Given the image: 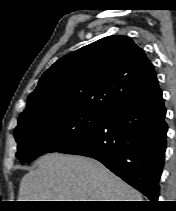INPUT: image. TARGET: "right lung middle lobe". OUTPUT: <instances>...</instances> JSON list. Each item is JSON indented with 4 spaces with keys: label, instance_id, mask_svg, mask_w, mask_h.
<instances>
[{
    "label": "right lung middle lobe",
    "instance_id": "dd1d6c3e",
    "mask_svg": "<svg viewBox=\"0 0 176 211\" xmlns=\"http://www.w3.org/2000/svg\"><path fill=\"white\" fill-rule=\"evenodd\" d=\"M108 114L83 109L53 108L38 111L18 120L16 157L21 163L56 152L104 122Z\"/></svg>",
    "mask_w": 176,
    "mask_h": 211
}]
</instances>
